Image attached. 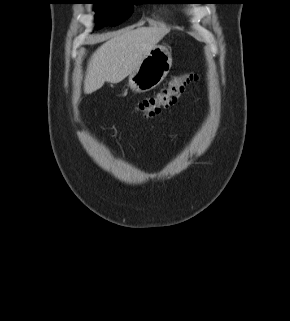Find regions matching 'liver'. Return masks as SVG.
Instances as JSON below:
<instances>
[{
  "mask_svg": "<svg viewBox=\"0 0 290 321\" xmlns=\"http://www.w3.org/2000/svg\"><path fill=\"white\" fill-rule=\"evenodd\" d=\"M169 29L163 25L126 29L114 34L93 54L84 83L85 94L105 82L119 83L133 73Z\"/></svg>",
  "mask_w": 290,
  "mask_h": 321,
  "instance_id": "liver-1",
  "label": "liver"
}]
</instances>
